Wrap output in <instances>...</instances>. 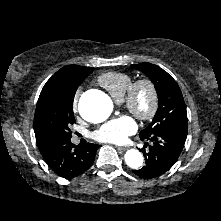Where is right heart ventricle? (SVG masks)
<instances>
[{"label": "right heart ventricle", "instance_id": "obj_1", "mask_svg": "<svg viewBox=\"0 0 221 221\" xmlns=\"http://www.w3.org/2000/svg\"><path fill=\"white\" fill-rule=\"evenodd\" d=\"M97 81L117 102H120L132 83L133 78L127 73L106 72L101 74L97 78Z\"/></svg>", "mask_w": 221, "mask_h": 221}]
</instances>
